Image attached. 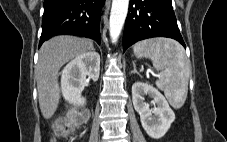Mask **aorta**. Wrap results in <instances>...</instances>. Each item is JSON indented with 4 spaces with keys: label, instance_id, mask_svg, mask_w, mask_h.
Segmentation results:
<instances>
[{
    "label": "aorta",
    "instance_id": "obj_1",
    "mask_svg": "<svg viewBox=\"0 0 227 142\" xmlns=\"http://www.w3.org/2000/svg\"><path fill=\"white\" fill-rule=\"evenodd\" d=\"M129 0H112V7L109 20L110 37L115 43L122 31L127 12Z\"/></svg>",
    "mask_w": 227,
    "mask_h": 142
}]
</instances>
